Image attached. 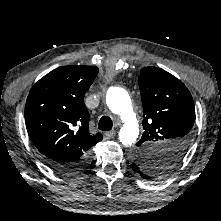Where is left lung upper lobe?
<instances>
[{
  "label": "left lung upper lobe",
  "instance_id": "5c2ea615",
  "mask_svg": "<svg viewBox=\"0 0 221 221\" xmlns=\"http://www.w3.org/2000/svg\"><path fill=\"white\" fill-rule=\"evenodd\" d=\"M138 82L144 133L136 143V162L149 176L164 175L180 163L190 145L194 102L186 86L160 68H143Z\"/></svg>",
  "mask_w": 221,
  "mask_h": 221
}]
</instances>
